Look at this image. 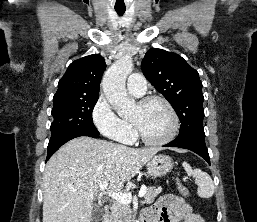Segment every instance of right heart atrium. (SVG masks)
<instances>
[{"label":"right heart atrium","instance_id":"d8ad5b80","mask_svg":"<svg viewBox=\"0 0 257 222\" xmlns=\"http://www.w3.org/2000/svg\"><path fill=\"white\" fill-rule=\"evenodd\" d=\"M102 108L108 110L115 117L117 124L113 128H104L97 122L96 113L99 109H102ZM92 117L96 128L104 136L121 143H129L132 140L134 135L133 127L129 123L123 121L122 119L114 115L105 97L102 96L98 99L93 109Z\"/></svg>","mask_w":257,"mask_h":222}]
</instances>
